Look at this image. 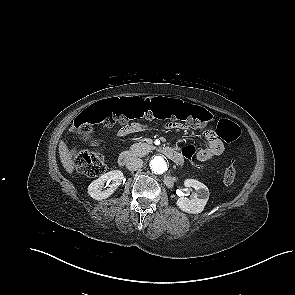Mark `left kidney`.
Listing matches in <instances>:
<instances>
[{"mask_svg":"<svg viewBox=\"0 0 295 295\" xmlns=\"http://www.w3.org/2000/svg\"><path fill=\"white\" fill-rule=\"evenodd\" d=\"M184 185L187 188H194L196 193L191 199L180 197L176 202L178 208L190 214L201 213L209 199V189L206 185L195 179H186Z\"/></svg>","mask_w":295,"mask_h":295,"instance_id":"obj_1","label":"left kidney"}]
</instances>
